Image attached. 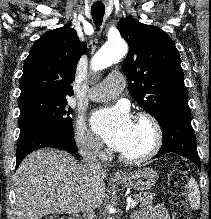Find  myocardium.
<instances>
[{
    "instance_id": "1",
    "label": "myocardium",
    "mask_w": 211,
    "mask_h": 219,
    "mask_svg": "<svg viewBox=\"0 0 211 219\" xmlns=\"http://www.w3.org/2000/svg\"><path fill=\"white\" fill-rule=\"evenodd\" d=\"M136 122L145 123L150 127L152 131V143L145 152L139 155L120 153V160L131 165L141 164L152 159L160 151L163 143L162 127L154 116L149 113H139L136 117Z\"/></svg>"
}]
</instances>
